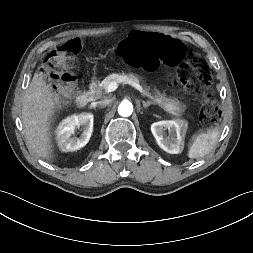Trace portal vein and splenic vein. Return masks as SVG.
Returning <instances> with one entry per match:
<instances>
[{"label":"portal vein and splenic vein","instance_id":"18ae733b","mask_svg":"<svg viewBox=\"0 0 253 253\" xmlns=\"http://www.w3.org/2000/svg\"><path fill=\"white\" fill-rule=\"evenodd\" d=\"M123 83L131 85L132 87H134L135 89H137V90H138L139 92H141L142 94L144 93L143 88H142V87L140 86V84H138V83H135V82L130 81V80L125 81V82H123ZM117 88H118V84H117L116 82H111V83L108 85V91H109V92L115 91ZM171 113H172V112H171ZM173 114H175V113H173Z\"/></svg>","mask_w":253,"mask_h":253}]
</instances>
